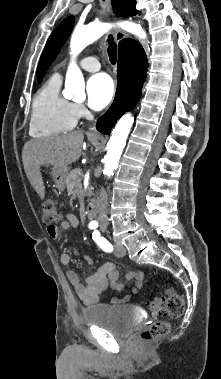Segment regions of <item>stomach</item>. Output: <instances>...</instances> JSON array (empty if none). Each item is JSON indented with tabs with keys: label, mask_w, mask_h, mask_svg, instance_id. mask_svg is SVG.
Listing matches in <instances>:
<instances>
[{
	"label": "stomach",
	"mask_w": 221,
	"mask_h": 379,
	"mask_svg": "<svg viewBox=\"0 0 221 379\" xmlns=\"http://www.w3.org/2000/svg\"><path fill=\"white\" fill-rule=\"evenodd\" d=\"M43 166L48 167L49 164L44 163ZM68 171H69V168L67 166H53L52 165V168H51L52 178L55 183V186L60 191H63L65 188Z\"/></svg>",
	"instance_id": "obj_1"
}]
</instances>
